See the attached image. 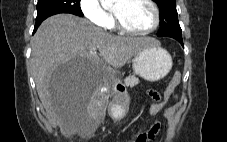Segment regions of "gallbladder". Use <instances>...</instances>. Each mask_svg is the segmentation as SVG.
I'll return each mask as SVG.
<instances>
[{
  "instance_id": "gallbladder-1",
  "label": "gallbladder",
  "mask_w": 227,
  "mask_h": 142,
  "mask_svg": "<svg viewBox=\"0 0 227 142\" xmlns=\"http://www.w3.org/2000/svg\"><path fill=\"white\" fill-rule=\"evenodd\" d=\"M97 104L94 105V108L96 109V112L97 113H102L103 112V105H100V102L101 104H104V102L106 101V98L104 97V94L103 93H98L97 94Z\"/></svg>"
}]
</instances>
